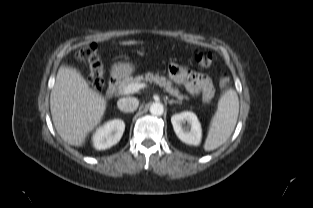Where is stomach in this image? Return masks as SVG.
I'll use <instances>...</instances> for the list:
<instances>
[{"label":"stomach","mask_w":313,"mask_h":208,"mask_svg":"<svg viewBox=\"0 0 313 208\" xmlns=\"http://www.w3.org/2000/svg\"><path fill=\"white\" fill-rule=\"evenodd\" d=\"M134 67L128 63H119L114 66L113 72L116 75H129L133 72Z\"/></svg>","instance_id":"obj_1"}]
</instances>
